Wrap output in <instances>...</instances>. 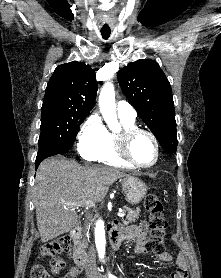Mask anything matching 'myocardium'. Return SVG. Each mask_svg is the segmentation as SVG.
<instances>
[{"label": "myocardium", "instance_id": "f54148a6", "mask_svg": "<svg viewBox=\"0 0 221 278\" xmlns=\"http://www.w3.org/2000/svg\"><path fill=\"white\" fill-rule=\"evenodd\" d=\"M139 133H144L147 136H149L154 144L155 147V160L152 164L149 165H142L138 164L135 161H133L130 156H129V145L131 140L133 139L134 136H136ZM115 150L118 155V157L127 165L130 167L136 168V169H149L155 166L159 159H160V145L159 142L156 138V136L149 130L144 129V128H139V127H128V128H123V130L116 135V144H115Z\"/></svg>", "mask_w": 221, "mask_h": 278}]
</instances>
